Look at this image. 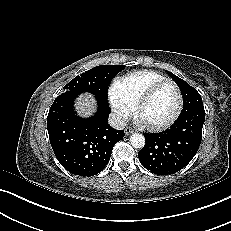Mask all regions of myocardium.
Segmentation results:
<instances>
[{
  "label": "myocardium",
  "mask_w": 231,
  "mask_h": 231,
  "mask_svg": "<svg viewBox=\"0 0 231 231\" xmlns=\"http://www.w3.org/2000/svg\"><path fill=\"white\" fill-rule=\"evenodd\" d=\"M169 84L171 85L176 93V104H175V108L171 114V116L162 123H150V122H145L144 124L152 130H161V129H165L167 127H169L179 116L181 109H182V105H183V98H182V93L181 90L179 88V86L171 79H163L157 83H155L154 85H152L150 88H148L145 93L140 97V99L138 100V102L136 103L135 109H134V116L136 117V119H140V114L141 111L144 107V105L147 103V101L150 99V97L152 96V94L161 86Z\"/></svg>",
  "instance_id": "obj_1"
}]
</instances>
